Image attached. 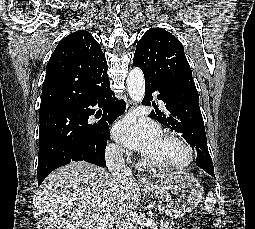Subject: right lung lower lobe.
Segmentation results:
<instances>
[{
  "mask_svg": "<svg viewBox=\"0 0 255 229\" xmlns=\"http://www.w3.org/2000/svg\"><path fill=\"white\" fill-rule=\"evenodd\" d=\"M95 105H98L104 108V113H103L101 121L98 124H94V125H95L96 132L100 135V138L104 141L105 148H106L107 140L110 137V131H109V127L107 123L114 122V120L118 116L124 113L126 108V104L124 103V101H119V102L116 101L114 97V92L111 91L110 89L109 79H105V81L101 85H98L96 88H94V90L88 95V97L85 100L79 103H76L74 105L55 107V108L40 112V119L52 117L57 114H63L66 112H71V111L80 113L83 116L89 118V116L93 115L95 112L91 108ZM75 161H86V162H90L100 166L106 165L104 152L102 153L100 157H97V158H87V157H84L83 155H80L78 157L72 158L70 161L66 162L65 164H68L70 162H75ZM58 167H55L50 170H41L38 167V170H37L38 185L42 183V181L47 177V175H49L53 170H55Z\"/></svg>",
  "mask_w": 255,
  "mask_h": 229,
  "instance_id": "right-lung-lower-lobe-1",
  "label": "right lung lower lobe"
}]
</instances>
